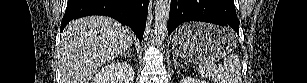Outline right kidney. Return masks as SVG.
I'll use <instances>...</instances> for the list:
<instances>
[{
	"label": "right kidney",
	"mask_w": 307,
	"mask_h": 83,
	"mask_svg": "<svg viewBox=\"0 0 307 83\" xmlns=\"http://www.w3.org/2000/svg\"><path fill=\"white\" fill-rule=\"evenodd\" d=\"M92 83H134V70L126 62H111L95 74Z\"/></svg>",
	"instance_id": "ca27d5eb"
}]
</instances>
